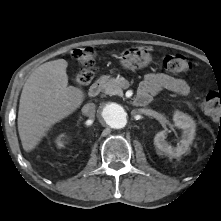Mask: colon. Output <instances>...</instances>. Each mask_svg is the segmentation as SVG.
Wrapping results in <instances>:
<instances>
[{
  "label": "colon",
  "instance_id": "5ec220e1",
  "mask_svg": "<svg viewBox=\"0 0 221 221\" xmlns=\"http://www.w3.org/2000/svg\"><path fill=\"white\" fill-rule=\"evenodd\" d=\"M96 56V51L90 47L73 51V57L80 66V71L74 78L77 86L88 85L93 80ZM162 67L168 72L184 73L189 71L191 64L186 56L175 53L163 58ZM202 109L205 113L213 115L221 121V93L216 91L207 93L202 101Z\"/></svg>",
  "mask_w": 221,
  "mask_h": 221
}]
</instances>
